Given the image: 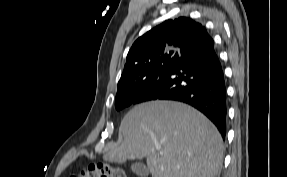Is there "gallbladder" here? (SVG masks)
I'll return each instance as SVG.
<instances>
[{"label":"gallbladder","instance_id":"bac80fb5","mask_svg":"<svg viewBox=\"0 0 287 177\" xmlns=\"http://www.w3.org/2000/svg\"><path fill=\"white\" fill-rule=\"evenodd\" d=\"M131 170L134 174L145 177L149 174L148 168L142 162H135L131 165Z\"/></svg>","mask_w":287,"mask_h":177}]
</instances>
